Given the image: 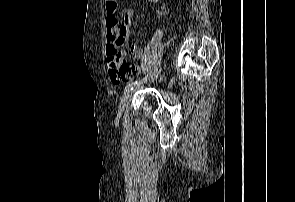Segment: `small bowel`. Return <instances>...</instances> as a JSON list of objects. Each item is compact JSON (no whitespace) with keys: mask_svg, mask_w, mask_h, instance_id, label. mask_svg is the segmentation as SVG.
I'll list each match as a JSON object with an SVG mask.
<instances>
[{"mask_svg":"<svg viewBox=\"0 0 295 202\" xmlns=\"http://www.w3.org/2000/svg\"><path fill=\"white\" fill-rule=\"evenodd\" d=\"M152 3H158L159 0H149ZM107 20L114 16L106 10ZM115 16L119 19V15L116 12ZM133 16V11L129 10L125 13L121 25L115 28V32L120 39L117 47H111L107 36L106 55L109 62V74L114 84H119L123 79H131L133 75H136L142 71L140 67H136L131 70L130 64L127 63V59H123L126 55L125 48L129 43V26ZM108 35V34H107ZM131 53L135 58H145V52L138 46L133 45L131 47ZM116 62V63H114ZM118 62V63H117Z\"/></svg>","mask_w":295,"mask_h":202,"instance_id":"c3829d8e","label":"small bowel"}]
</instances>
